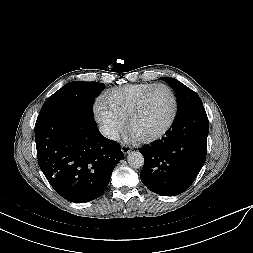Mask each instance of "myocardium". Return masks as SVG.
<instances>
[{
  "instance_id": "obj_1",
  "label": "myocardium",
  "mask_w": 253,
  "mask_h": 253,
  "mask_svg": "<svg viewBox=\"0 0 253 253\" xmlns=\"http://www.w3.org/2000/svg\"><path fill=\"white\" fill-rule=\"evenodd\" d=\"M158 87H164L169 91L171 98H172V102H173L172 115H171L168 123L165 125V127L163 129H161L160 131H158L154 134L146 135V136H136V138L139 141L144 142V143L156 141V140L162 138L164 135H166L167 132L173 126V124L176 120V117H177L178 100H177V96H176L173 88L165 83H155V84H152L151 86H149L146 90H144V92L138 98L136 105L134 106L132 112L130 113V115L128 116V118L126 120L127 129L129 131H131V126H132L133 122L136 120V118L139 116L148 95L150 94L151 91H153L154 89H156Z\"/></svg>"
}]
</instances>
